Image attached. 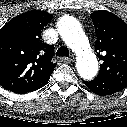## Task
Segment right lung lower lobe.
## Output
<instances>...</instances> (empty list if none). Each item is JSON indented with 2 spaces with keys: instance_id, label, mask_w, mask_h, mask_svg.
Returning <instances> with one entry per match:
<instances>
[{
  "instance_id": "obj_1",
  "label": "right lung lower lobe",
  "mask_w": 127,
  "mask_h": 127,
  "mask_svg": "<svg viewBox=\"0 0 127 127\" xmlns=\"http://www.w3.org/2000/svg\"><path fill=\"white\" fill-rule=\"evenodd\" d=\"M37 90V89H36ZM32 91H34V90H32ZM27 92H31V91H27ZM27 92H22V93H27Z\"/></svg>"
}]
</instances>
